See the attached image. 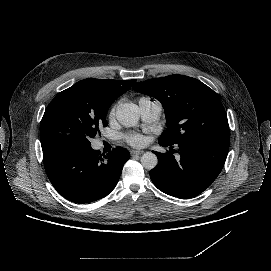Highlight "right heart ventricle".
<instances>
[{"mask_svg":"<svg viewBox=\"0 0 271 271\" xmlns=\"http://www.w3.org/2000/svg\"><path fill=\"white\" fill-rule=\"evenodd\" d=\"M142 99H149V98L148 97H141L140 100H142Z\"/></svg>","mask_w":271,"mask_h":271,"instance_id":"e07e8e85","label":"right heart ventricle"}]
</instances>
